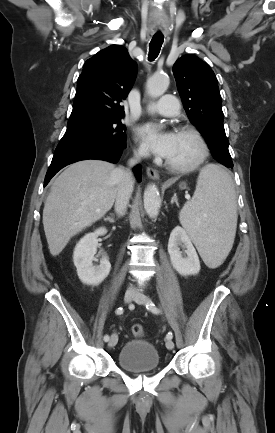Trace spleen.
Returning <instances> with one entry per match:
<instances>
[{
	"label": "spleen",
	"instance_id": "1",
	"mask_svg": "<svg viewBox=\"0 0 275 433\" xmlns=\"http://www.w3.org/2000/svg\"><path fill=\"white\" fill-rule=\"evenodd\" d=\"M179 220L210 268H216L228 256L237 227L234 184L219 165L203 167L196 190L179 213Z\"/></svg>",
	"mask_w": 275,
	"mask_h": 433
}]
</instances>
